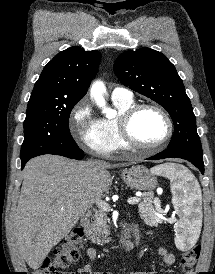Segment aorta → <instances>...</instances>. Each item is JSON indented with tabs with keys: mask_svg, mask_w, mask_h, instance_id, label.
<instances>
[{
	"mask_svg": "<svg viewBox=\"0 0 215 274\" xmlns=\"http://www.w3.org/2000/svg\"><path fill=\"white\" fill-rule=\"evenodd\" d=\"M105 91V86L102 82L96 81L93 83L90 93L92 98L95 99L97 105L102 108L103 113H105L107 118H112L116 115V111L106 107L105 100L103 98V93Z\"/></svg>",
	"mask_w": 215,
	"mask_h": 274,
	"instance_id": "aorta-1",
	"label": "aorta"
}]
</instances>
